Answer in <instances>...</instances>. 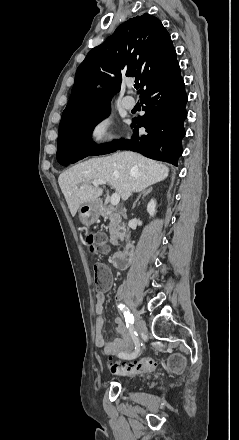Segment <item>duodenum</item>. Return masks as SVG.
Instances as JSON below:
<instances>
[{
  "label": "duodenum",
  "mask_w": 239,
  "mask_h": 440,
  "mask_svg": "<svg viewBox=\"0 0 239 440\" xmlns=\"http://www.w3.org/2000/svg\"><path fill=\"white\" fill-rule=\"evenodd\" d=\"M132 255H133V244L130 241V239L127 237V243L125 249L123 251L115 252L111 256V264L118 269H124L131 262Z\"/></svg>",
  "instance_id": "1"
}]
</instances>
